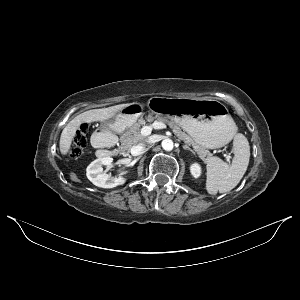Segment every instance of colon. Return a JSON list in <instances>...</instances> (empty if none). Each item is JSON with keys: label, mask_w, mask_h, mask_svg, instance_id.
I'll return each mask as SVG.
<instances>
[{"label": "colon", "mask_w": 300, "mask_h": 300, "mask_svg": "<svg viewBox=\"0 0 300 300\" xmlns=\"http://www.w3.org/2000/svg\"><path fill=\"white\" fill-rule=\"evenodd\" d=\"M87 143V127L82 125L81 128L76 133L74 140L69 148V156L72 159H77L81 157L84 152Z\"/></svg>", "instance_id": "obj_1"}]
</instances>
